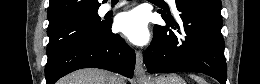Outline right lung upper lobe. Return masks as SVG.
<instances>
[{
	"label": "right lung upper lobe",
	"instance_id": "1",
	"mask_svg": "<svg viewBox=\"0 0 260 84\" xmlns=\"http://www.w3.org/2000/svg\"><path fill=\"white\" fill-rule=\"evenodd\" d=\"M98 0H50L48 28L56 27L76 17L97 12Z\"/></svg>",
	"mask_w": 260,
	"mask_h": 84
}]
</instances>
